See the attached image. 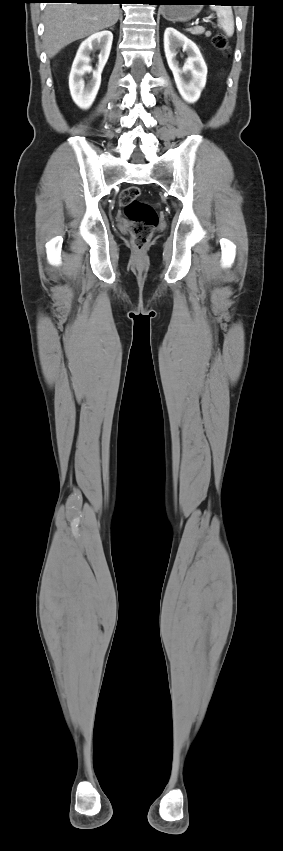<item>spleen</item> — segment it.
I'll return each instance as SVG.
<instances>
[{
    "label": "spleen",
    "mask_w": 283,
    "mask_h": 851,
    "mask_svg": "<svg viewBox=\"0 0 283 851\" xmlns=\"http://www.w3.org/2000/svg\"><path fill=\"white\" fill-rule=\"evenodd\" d=\"M211 9L216 11L218 26L224 30L227 36L231 37L234 33V17L231 7L213 6Z\"/></svg>",
    "instance_id": "3e777b00"
}]
</instances>
